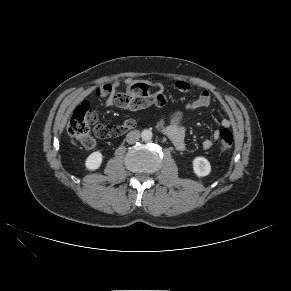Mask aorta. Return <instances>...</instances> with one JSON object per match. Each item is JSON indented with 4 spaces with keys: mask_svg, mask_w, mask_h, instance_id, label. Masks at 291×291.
I'll use <instances>...</instances> for the list:
<instances>
[{
    "mask_svg": "<svg viewBox=\"0 0 291 291\" xmlns=\"http://www.w3.org/2000/svg\"><path fill=\"white\" fill-rule=\"evenodd\" d=\"M152 131L151 130H149V129H145V130H143L142 131V133H141V138H142V140H144V141H149V140H151L152 139Z\"/></svg>",
    "mask_w": 291,
    "mask_h": 291,
    "instance_id": "762f6f07",
    "label": "aorta"
}]
</instances>
